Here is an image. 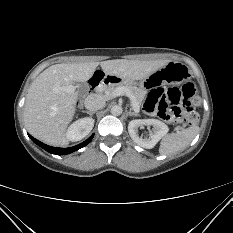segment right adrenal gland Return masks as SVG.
Returning a JSON list of instances; mask_svg holds the SVG:
<instances>
[{
  "instance_id": "obj_1",
  "label": "right adrenal gland",
  "mask_w": 233,
  "mask_h": 233,
  "mask_svg": "<svg viewBox=\"0 0 233 233\" xmlns=\"http://www.w3.org/2000/svg\"><path fill=\"white\" fill-rule=\"evenodd\" d=\"M82 112H83V113L89 114L90 117H92V115H93L94 113H96V111H82Z\"/></svg>"
}]
</instances>
